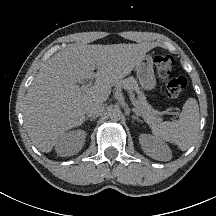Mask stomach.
<instances>
[{"label":"stomach","instance_id":"stomach-1","mask_svg":"<svg viewBox=\"0 0 216 216\" xmlns=\"http://www.w3.org/2000/svg\"><path fill=\"white\" fill-rule=\"evenodd\" d=\"M135 70L142 89L147 91L155 89L157 81L153 70L152 56L145 55Z\"/></svg>","mask_w":216,"mask_h":216}]
</instances>
